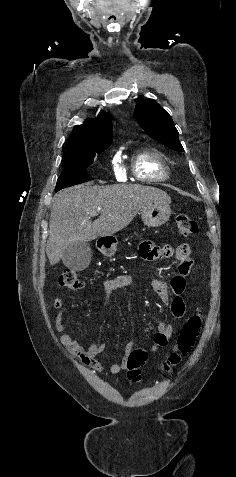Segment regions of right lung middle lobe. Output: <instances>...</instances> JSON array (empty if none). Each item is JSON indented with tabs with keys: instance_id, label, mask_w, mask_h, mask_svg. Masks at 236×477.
Wrapping results in <instances>:
<instances>
[{
	"instance_id": "right-lung-middle-lobe-1",
	"label": "right lung middle lobe",
	"mask_w": 236,
	"mask_h": 477,
	"mask_svg": "<svg viewBox=\"0 0 236 477\" xmlns=\"http://www.w3.org/2000/svg\"><path fill=\"white\" fill-rule=\"evenodd\" d=\"M107 148L108 147L97 150L96 152L78 155L62 162L64 171L57 180L55 192L91 180L87 178L85 169L93 163L96 155H99Z\"/></svg>"
}]
</instances>
